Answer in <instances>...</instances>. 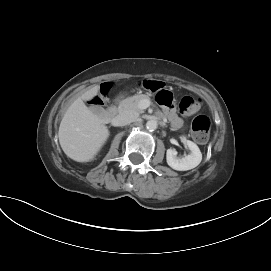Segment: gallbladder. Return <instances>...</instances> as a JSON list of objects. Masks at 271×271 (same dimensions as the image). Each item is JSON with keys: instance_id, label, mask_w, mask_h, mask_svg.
Instances as JSON below:
<instances>
[{"instance_id": "1", "label": "gallbladder", "mask_w": 271, "mask_h": 271, "mask_svg": "<svg viewBox=\"0 0 271 271\" xmlns=\"http://www.w3.org/2000/svg\"><path fill=\"white\" fill-rule=\"evenodd\" d=\"M90 110H91L94 114H96L99 118H102V117H104V115H105L104 109H102V108H100V107H98V106H92V107L90 108Z\"/></svg>"}]
</instances>
